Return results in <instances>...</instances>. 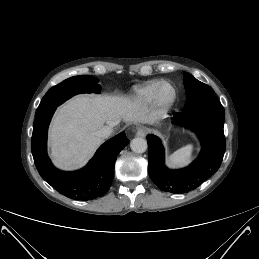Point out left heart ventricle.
Here are the masks:
<instances>
[{
	"label": "left heart ventricle",
	"mask_w": 259,
	"mask_h": 259,
	"mask_svg": "<svg viewBox=\"0 0 259 259\" xmlns=\"http://www.w3.org/2000/svg\"><path fill=\"white\" fill-rule=\"evenodd\" d=\"M162 94L165 98H168L171 95V90L169 88H164Z\"/></svg>",
	"instance_id": "b2bd125f"
}]
</instances>
